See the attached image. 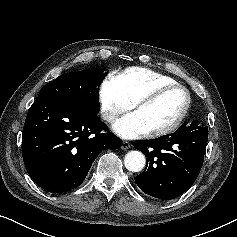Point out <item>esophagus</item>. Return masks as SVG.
<instances>
[{
    "instance_id": "1",
    "label": "esophagus",
    "mask_w": 237,
    "mask_h": 237,
    "mask_svg": "<svg viewBox=\"0 0 237 237\" xmlns=\"http://www.w3.org/2000/svg\"><path fill=\"white\" fill-rule=\"evenodd\" d=\"M130 147H131L130 142H128V141L122 142L121 149L126 150V149H129Z\"/></svg>"
}]
</instances>
